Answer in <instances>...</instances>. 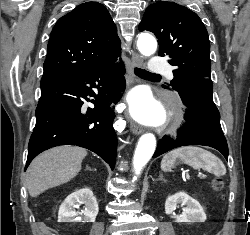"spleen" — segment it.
<instances>
[{
	"instance_id": "obj_1",
	"label": "spleen",
	"mask_w": 250,
	"mask_h": 235,
	"mask_svg": "<svg viewBox=\"0 0 250 235\" xmlns=\"http://www.w3.org/2000/svg\"><path fill=\"white\" fill-rule=\"evenodd\" d=\"M177 160L195 169L202 168L215 176L226 174L223 162L211 152L200 147L186 146L170 151L163 157L161 169L165 172L170 171Z\"/></svg>"
}]
</instances>
